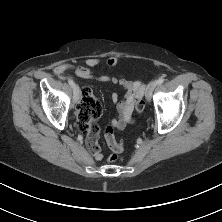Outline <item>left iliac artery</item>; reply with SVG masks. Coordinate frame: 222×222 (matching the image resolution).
Instances as JSON below:
<instances>
[{"mask_svg": "<svg viewBox=\"0 0 222 222\" xmlns=\"http://www.w3.org/2000/svg\"><path fill=\"white\" fill-rule=\"evenodd\" d=\"M164 82V78H159L157 81H156V83H157V85H160V84H162Z\"/></svg>", "mask_w": 222, "mask_h": 222, "instance_id": "obj_1", "label": "left iliac artery"}]
</instances>
